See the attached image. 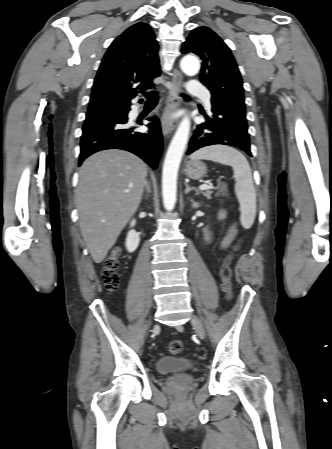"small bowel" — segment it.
I'll return each instance as SVG.
<instances>
[{
  "label": "small bowel",
  "instance_id": "1",
  "mask_svg": "<svg viewBox=\"0 0 332 449\" xmlns=\"http://www.w3.org/2000/svg\"><path fill=\"white\" fill-rule=\"evenodd\" d=\"M226 216H227L226 210H225V209H220V210H219V213H218L219 219H220V220H223V219L226 218ZM235 235H236V229H235V228H231V229L227 232L226 236H225V237L223 238V240H222V247H223V248H226L227 246H229V244L231 243V241L233 240V238L235 237Z\"/></svg>",
  "mask_w": 332,
  "mask_h": 449
}]
</instances>
